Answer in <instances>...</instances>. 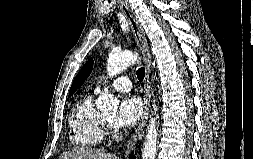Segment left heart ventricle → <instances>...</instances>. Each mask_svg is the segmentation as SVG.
<instances>
[{"label":"left heart ventricle","mask_w":253,"mask_h":159,"mask_svg":"<svg viewBox=\"0 0 253 159\" xmlns=\"http://www.w3.org/2000/svg\"><path fill=\"white\" fill-rule=\"evenodd\" d=\"M106 117V119H108L109 121H112V119H113V115H107V116H105Z\"/></svg>","instance_id":"b2bd125f"}]
</instances>
